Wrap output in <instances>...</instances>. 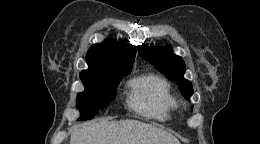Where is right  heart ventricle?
<instances>
[{
    "label": "right heart ventricle",
    "mask_w": 260,
    "mask_h": 144,
    "mask_svg": "<svg viewBox=\"0 0 260 144\" xmlns=\"http://www.w3.org/2000/svg\"><path fill=\"white\" fill-rule=\"evenodd\" d=\"M129 88V107L146 118L168 121L178 107L170 85L156 74L148 73L131 79Z\"/></svg>",
    "instance_id": "e07e8e85"
}]
</instances>
